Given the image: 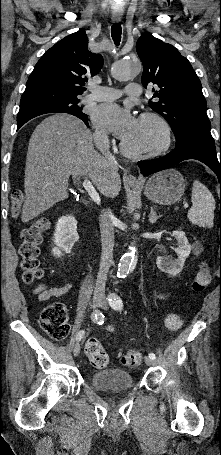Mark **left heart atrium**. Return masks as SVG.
<instances>
[{
    "instance_id": "left-heart-atrium-1",
    "label": "left heart atrium",
    "mask_w": 221,
    "mask_h": 455,
    "mask_svg": "<svg viewBox=\"0 0 221 455\" xmlns=\"http://www.w3.org/2000/svg\"><path fill=\"white\" fill-rule=\"evenodd\" d=\"M96 126L112 132L116 137L125 141L135 132L138 119L129 108L116 104H105L96 108L93 114Z\"/></svg>"
}]
</instances>
